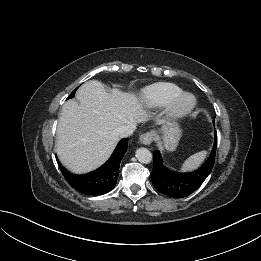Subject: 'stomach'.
<instances>
[{
	"mask_svg": "<svg viewBox=\"0 0 261 261\" xmlns=\"http://www.w3.org/2000/svg\"><path fill=\"white\" fill-rule=\"evenodd\" d=\"M162 136L160 146L166 151H174L181 137V129L174 121H167L160 130Z\"/></svg>",
	"mask_w": 261,
	"mask_h": 261,
	"instance_id": "obj_1",
	"label": "stomach"
}]
</instances>
